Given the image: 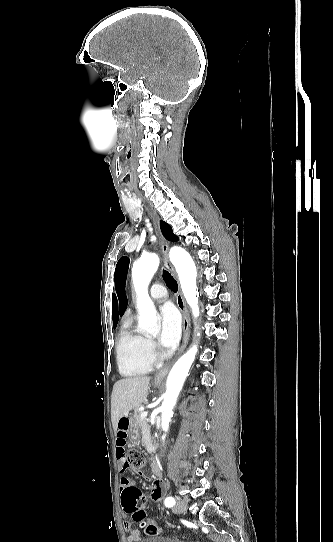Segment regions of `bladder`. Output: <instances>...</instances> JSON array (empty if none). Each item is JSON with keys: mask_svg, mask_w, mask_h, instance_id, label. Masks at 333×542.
Here are the masks:
<instances>
[{"mask_svg": "<svg viewBox=\"0 0 333 542\" xmlns=\"http://www.w3.org/2000/svg\"><path fill=\"white\" fill-rule=\"evenodd\" d=\"M141 542H187L176 538L160 535H149L145 537Z\"/></svg>", "mask_w": 333, "mask_h": 542, "instance_id": "1", "label": "bladder"}]
</instances>
